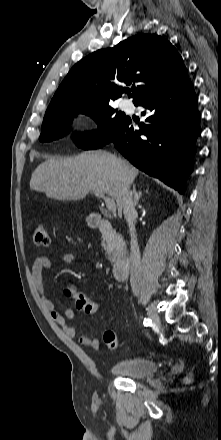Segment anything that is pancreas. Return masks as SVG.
Listing matches in <instances>:
<instances>
[{
	"mask_svg": "<svg viewBox=\"0 0 221 440\" xmlns=\"http://www.w3.org/2000/svg\"><path fill=\"white\" fill-rule=\"evenodd\" d=\"M114 250L116 252L117 259H121L123 255L125 254V250L122 244H118L114 247Z\"/></svg>",
	"mask_w": 221,
	"mask_h": 440,
	"instance_id": "1",
	"label": "pancreas"
}]
</instances>
